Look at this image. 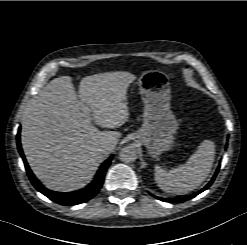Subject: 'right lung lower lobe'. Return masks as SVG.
<instances>
[{"instance_id": "right-lung-lower-lobe-1", "label": "right lung lower lobe", "mask_w": 247, "mask_h": 245, "mask_svg": "<svg viewBox=\"0 0 247 245\" xmlns=\"http://www.w3.org/2000/svg\"><path fill=\"white\" fill-rule=\"evenodd\" d=\"M16 139H17V146H18L19 153H20V155L24 161L25 168H26V171H27V174L29 176L31 183L39 192H41L42 194L47 196L50 200H52V201H54L60 205H63V206L77 205V204H81V203H84V202L90 200L99 192V190H100V188L104 182L105 172H106L107 168L109 167L110 162L112 160V156H110L100 166L94 180L86 188H83V189L75 191V192L59 193V192H54V191H51V190L45 188L39 182V180L34 176L32 171L30 170V168L26 162V159L24 157V154H23V151L21 148V144H20V129L17 133Z\"/></svg>"}]
</instances>
